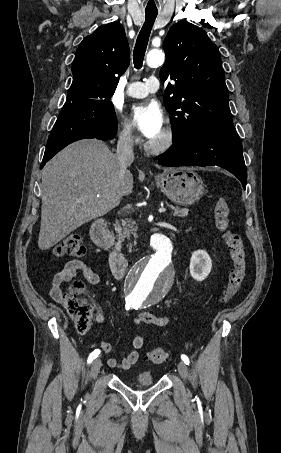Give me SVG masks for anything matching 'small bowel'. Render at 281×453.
I'll list each match as a JSON object with an SVG mask.
<instances>
[{
  "label": "small bowel",
  "mask_w": 281,
  "mask_h": 453,
  "mask_svg": "<svg viewBox=\"0 0 281 453\" xmlns=\"http://www.w3.org/2000/svg\"><path fill=\"white\" fill-rule=\"evenodd\" d=\"M79 272L82 274L84 279H86L91 285L96 286L99 284L100 282L99 274L93 271L90 267H88L82 260L80 259L69 260L60 271L56 272L53 275L48 285V292L55 302L62 305L67 304L66 296L63 292L62 286L64 283L72 281ZM95 310L97 311L96 319L97 321L101 322L103 319L102 313L99 311L100 309L98 307ZM136 322L139 324L147 323L154 324L157 326H164L168 324L169 317L154 316L148 312H142L136 318ZM100 347L101 350L105 353H109L111 351V344L106 341H102ZM142 347H143L142 337L140 336L134 337L132 339L131 350L128 353V355L123 359H119L117 357L108 358L107 365L112 368L120 369L131 368L138 361L139 350Z\"/></svg>",
  "instance_id": "1"
}]
</instances>
